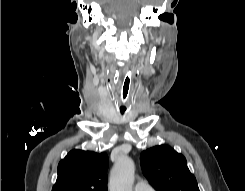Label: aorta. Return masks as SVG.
I'll use <instances>...</instances> for the list:
<instances>
[{
    "label": "aorta",
    "mask_w": 245,
    "mask_h": 191,
    "mask_svg": "<svg viewBox=\"0 0 245 191\" xmlns=\"http://www.w3.org/2000/svg\"><path fill=\"white\" fill-rule=\"evenodd\" d=\"M135 165L131 158L120 157L110 175L109 191H132Z\"/></svg>",
    "instance_id": "aorta-1"
}]
</instances>
